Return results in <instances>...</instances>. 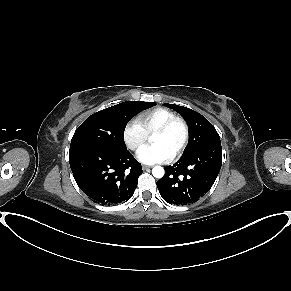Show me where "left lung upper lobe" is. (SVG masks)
Instances as JSON below:
<instances>
[{
  "instance_id": "5c2ea615",
  "label": "left lung upper lobe",
  "mask_w": 291,
  "mask_h": 291,
  "mask_svg": "<svg viewBox=\"0 0 291 291\" xmlns=\"http://www.w3.org/2000/svg\"><path fill=\"white\" fill-rule=\"evenodd\" d=\"M184 117L189 126V142L184 155L198 150L204 146L220 143V137L213 125L198 112L184 106L165 104Z\"/></svg>"
}]
</instances>
